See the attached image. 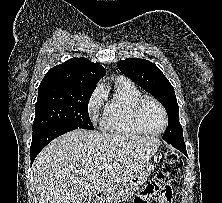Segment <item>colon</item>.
<instances>
[{"mask_svg":"<svg viewBox=\"0 0 222 203\" xmlns=\"http://www.w3.org/2000/svg\"><path fill=\"white\" fill-rule=\"evenodd\" d=\"M182 167L183 163L178 155L168 151L156 181L148 183L136 197L134 203H165L169 184L180 174Z\"/></svg>","mask_w":222,"mask_h":203,"instance_id":"colon-1","label":"colon"}]
</instances>
